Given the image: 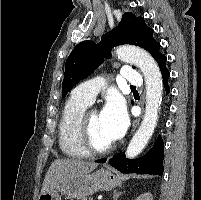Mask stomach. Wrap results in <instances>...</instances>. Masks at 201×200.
Masks as SVG:
<instances>
[{
  "instance_id": "obj_1",
  "label": "stomach",
  "mask_w": 201,
  "mask_h": 200,
  "mask_svg": "<svg viewBox=\"0 0 201 200\" xmlns=\"http://www.w3.org/2000/svg\"><path fill=\"white\" fill-rule=\"evenodd\" d=\"M121 183L118 175L102 168L93 173L76 174L55 189L41 193L38 200H61L62 195L85 200L87 196L97 191L112 190Z\"/></svg>"
}]
</instances>
